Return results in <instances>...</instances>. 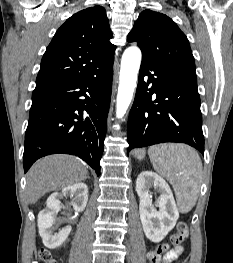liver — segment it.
<instances>
[{"instance_id":"6515ba94","label":"liver","mask_w":233,"mask_h":263,"mask_svg":"<svg viewBox=\"0 0 233 263\" xmlns=\"http://www.w3.org/2000/svg\"><path fill=\"white\" fill-rule=\"evenodd\" d=\"M88 176L84 164L69 155L44 157L31 167L27 173L26 195L28 202L34 204L47 192L63 189L81 182Z\"/></svg>"}]
</instances>
